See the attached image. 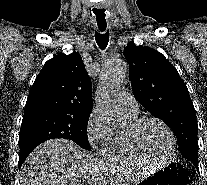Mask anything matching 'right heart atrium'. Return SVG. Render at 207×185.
<instances>
[{"label": "right heart atrium", "mask_w": 207, "mask_h": 185, "mask_svg": "<svg viewBox=\"0 0 207 185\" xmlns=\"http://www.w3.org/2000/svg\"><path fill=\"white\" fill-rule=\"evenodd\" d=\"M112 133L107 117L94 108L87 120L86 136L91 147L97 148L104 144Z\"/></svg>", "instance_id": "1"}]
</instances>
